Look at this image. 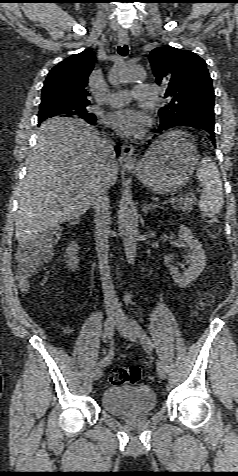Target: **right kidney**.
<instances>
[{"mask_svg":"<svg viewBox=\"0 0 238 476\" xmlns=\"http://www.w3.org/2000/svg\"><path fill=\"white\" fill-rule=\"evenodd\" d=\"M78 251H79L78 244L75 243L74 241L68 244V247L66 248L67 263L71 271H75L79 263Z\"/></svg>","mask_w":238,"mask_h":476,"instance_id":"right-kidney-1","label":"right kidney"}]
</instances>
